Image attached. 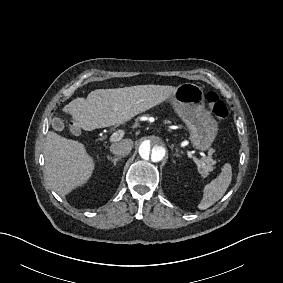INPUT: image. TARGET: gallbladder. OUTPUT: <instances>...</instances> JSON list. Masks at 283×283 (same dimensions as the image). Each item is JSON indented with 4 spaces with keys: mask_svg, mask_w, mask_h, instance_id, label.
Instances as JSON below:
<instances>
[{
    "mask_svg": "<svg viewBox=\"0 0 283 283\" xmlns=\"http://www.w3.org/2000/svg\"><path fill=\"white\" fill-rule=\"evenodd\" d=\"M52 127L57 131H62L64 129V123L59 118H53L52 120Z\"/></svg>",
    "mask_w": 283,
    "mask_h": 283,
    "instance_id": "1",
    "label": "gallbladder"
}]
</instances>
